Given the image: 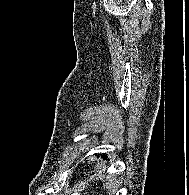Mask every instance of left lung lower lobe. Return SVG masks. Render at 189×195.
Segmentation results:
<instances>
[{"instance_id": "obj_1", "label": "left lung lower lobe", "mask_w": 189, "mask_h": 195, "mask_svg": "<svg viewBox=\"0 0 189 195\" xmlns=\"http://www.w3.org/2000/svg\"><path fill=\"white\" fill-rule=\"evenodd\" d=\"M99 156V155H98ZM101 157H103V158H106L107 159V157H105V155L103 154V155H101Z\"/></svg>"}]
</instances>
